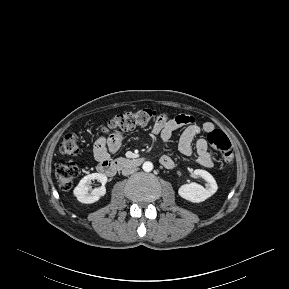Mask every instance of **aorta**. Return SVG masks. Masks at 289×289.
I'll return each instance as SVG.
<instances>
[{
	"label": "aorta",
	"mask_w": 289,
	"mask_h": 289,
	"mask_svg": "<svg viewBox=\"0 0 289 289\" xmlns=\"http://www.w3.org/2000/svg\"><path fill=\"white\" fill-rule=\"evenodd\" d=\"M142 169L145 171V172H150L153 170V163L150 162V161H146L143 163V166H142Z\"/></svg>",
	"instance_id": "aorta-1"
}]
</instances>
